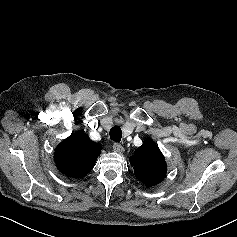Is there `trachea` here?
<instances>
[{
  "instance_id": "1",
  "label": "trachea",
  "mask_w": 237,
  "mask_h": 237,
  "mask_svg": "<svg viewBox=\"0 0 237 237\" xmlns=\"http://www.w3.org/2000/svg\"><path fill=\"white\" fill-rule=\"evenodd\" d=\"M110 139L115 141V142H120L122 138V131L119 126H114L110 130Z\"/></svg>"
}]
</instances>
